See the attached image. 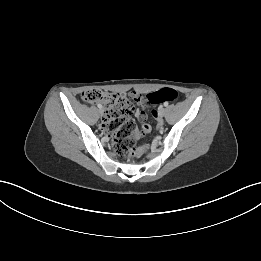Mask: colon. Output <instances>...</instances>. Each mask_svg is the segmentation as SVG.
<instances>
[{"instance_id":"1","label":"colon","mask_w":261,"mask_h":261,"mask_svg":"<svg viewBox=\"0 0 261 261\" xmlns=\"http://www.w3.org/2000/svg\"><path fill=\"white\" fill-rule=\"evenodd\" d=\"M146 97L147 101L153 104L163 101L173 102L177 100L178 92L171 88H164L148 94ZM83 99L90 104L104 103L106 114L102 126L113 137L115 150L119 154L137 156L145 151L144 147H138L135 143L139 133L134 122L130 119L134 107L126 97L117 93L104 92L100 89H89L83 93ZM152 114L156 117L157 111L154 110Z\"/></svg>"}]
</instances>
